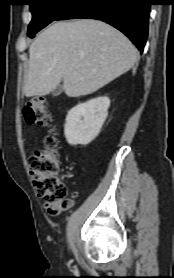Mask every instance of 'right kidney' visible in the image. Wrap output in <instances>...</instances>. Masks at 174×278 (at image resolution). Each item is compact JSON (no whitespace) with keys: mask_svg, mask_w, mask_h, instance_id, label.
Listing matches in <instances>:
<instances>
[{"mask_svg":"<svg viewBox=\"0 0 174 278\" xmlns=\"http://www.w3.org/2000/svg\"><path fill=\"white\" fill-rule=\"evenodd\" d=\"M110 100L97 97L78 104L67 114L64 134L70 145H87L99 134L107 115Z\"/></svg>","mask_w":174,"mask_h":278,"instance_id":"right-kidney-1","label":"right kidney"}]
</instances>
